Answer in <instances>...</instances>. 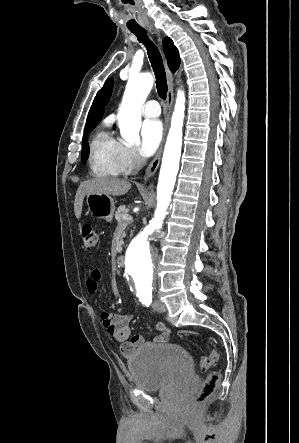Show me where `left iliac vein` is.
Masks as SVG:
<instances>
[{"instance_id": "left-iliac-vein-1", "label": "left iliac vein", "mask_w": 299, "mask_h": 443, "mask_svg": "<svg viewBox=\"0 0 299 443\" xmlns=\"http://www.w3.org/2000/svg\"><path fill=\"white\" fill-rule=\"evenodd\" d=\"M153 308H154L155 311L160 312V313L164 312L165 309H166L165 305L163 303H161V302L154 303L153 304Z\"/></svg>"}]
</instances>
